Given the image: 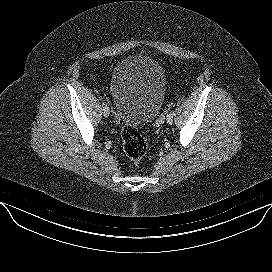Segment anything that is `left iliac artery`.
Segmentation results:
<instances>
[{
  "label": "left iliac artery",
  "mask_w": 272,
  "mask_h": 272,
  "mask_svg": "<svg viewBox=\"0 0 272 272\" xmlns=\"http://www.w3.org/2000/svg\"><path fill=\"white\" fill-rule=\"evenodd\" d=\"M167 115H168V116H172V115H174V112H173V111H168V112H167Z\"/></svg>",
  "instance_id": "left-iliac-artery-1"
}]
</instances>
